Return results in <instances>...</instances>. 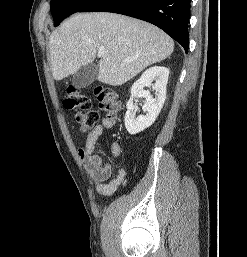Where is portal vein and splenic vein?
<instances>
[{
    "instance_id": "1",
    "label": "portal vein and splenic vein",
    "mask_w": 247,
    "mask_h": 257,
    "mask_svg": "<svg viewBox=\"0 0 247 257\" xmlns=\"http://www.w3.org/2000/svg\"><path fill=\"white\" fill-rule=\"evenodd\" d=\"M104 53H105L104 49H99L98 56L101 57L104 55Z\"/></svg>"
}]
</instances>
